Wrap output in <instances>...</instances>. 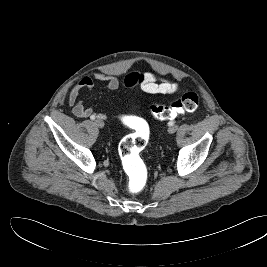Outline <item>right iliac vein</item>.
<instances>
[{"instance_id":"right-iliac-vein-1","label":"right iliac vein","mask_w":267,"mask_h":267,"mask_svg":"<svg viewBox=\"0 0 267 267\" xmlns=\"http://www.w3.org/2000/svg\"><path fill=\"white\" fill-rule=\"evenodd\" d=\"M95 125H96L97 127H99V128H103V127H104V122H103V120H101V119H97V120L95 121Z\"/></svg>"}]
</instances>
